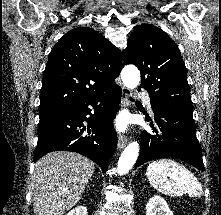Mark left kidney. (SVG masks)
<instances>
[{"label":"left kidney","mask_w":221,"mask_h":215,"mask_svg":"<svg viewBox=\"0 0 221 215\" xmlns=\"http://www.w3.org/2000/svg\"><path fill=\"white\" fill-rule=\"evenodd\" d=\"M146 215H173V212L161 196L155 195L146 205Z\"/></svg>","instance_id":"5707ae66"}]
</instances>
